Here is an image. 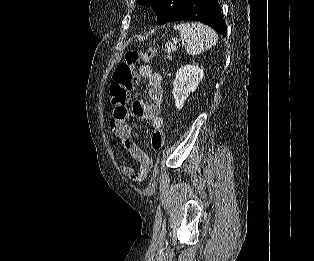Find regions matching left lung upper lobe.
<instances>
[{
	"label": "left lung upper lobe",
	"mask_w": 314,
	"mask_h": 261,
	"mask_svg": "<svg viewBox=\"0 0 314 261\" xmlns=\"http://www.w3.org/2000/svg\"><path fill=\"white\" fill-rule=\"evenodd\" d=\"M144 6H151L158 16V25L165 24L175 15L183 0H137Z\"/></svg>",
	"instance_id": "1"
}]
</instances>
